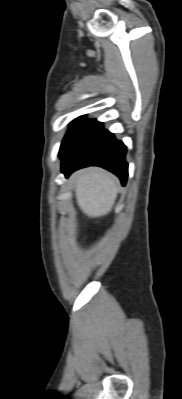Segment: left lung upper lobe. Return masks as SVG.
<instances>
[{"label":"left lung upper lobe","instance_id":"5c2ea615","mask_svg":"<svg viewBox=\"0 0 182 399\" xmlns=\"http://www.w3.org/2000/svg\"><path fill=\"white\" fill-rule=\"evenodd\" d=\"M84 117H85V116H80V117L76 118L75 120H73V121L71 122V128H70V130L67 132L66 136L64 137V139H63V141H62V143H61L60 150H59V155H60V154L62 153V151L66 148V146H67V144H68V142H69V139H70L71 135H72V134L74 133V131L78 128V126L82 123Z\"/></svg>","mask_w":182,"mask_h":399}]
</instances>
